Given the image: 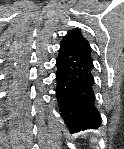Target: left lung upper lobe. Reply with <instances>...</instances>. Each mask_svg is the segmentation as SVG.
<instances>
[{"label":"left lung upper lobe","instance_id":"left-lung-upper-lobe-1","mask_svg":"<svg viewBox=\"0 0 124 149\" xmlns=\"http://www.w3.org/2000/svg\"><path fill=\"white\" fill-rule=\"evenodd\" d=\"M73 44L81 48L85 53L91 55V47L87 39L81 33L80 29L70 30L66 36Z\"/></svg>","mask_w":124,"mask_h":149}]
</instances>
